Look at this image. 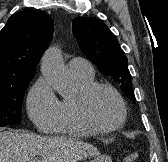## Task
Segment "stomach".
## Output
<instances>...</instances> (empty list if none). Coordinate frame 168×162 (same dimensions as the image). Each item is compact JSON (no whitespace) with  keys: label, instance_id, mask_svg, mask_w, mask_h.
I'll list each match as a JSON object with an SVG mask.
<instances>
[{"label":"stomach","instance_id":"1","mask_svg":"<svg viewBox=\"0 0 168 162\" xmlns=\"http://www.w3.org/2000/svg\"><path fill=\"white\" fill-rule=\"evenodd\" d=\"M90 162H112L109 156L98 155L95 156Z\"/></svg>","mask_w":168,"mask_h":162}]
</instances>
